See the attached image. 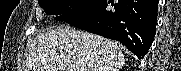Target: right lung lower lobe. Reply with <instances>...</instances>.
<instances>
[{
    "mask_svg": "<svg viewBox=\"0 0 181 71\" xmlns=\"http://www.w3.org/2000/svg\"><path fill=\"white\" fill-rule=\"evenodd\" d=\"M159 0H96L89 8L64 21L122 42L139 59L152 45Z\"/></svg>",
    "mask_w": 181,
    "mask_h": 71,
    "instance_id": "1",
    "label": "right lung lower lobe"
}]
</instances>
